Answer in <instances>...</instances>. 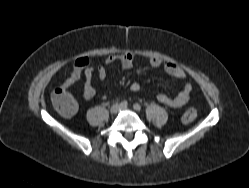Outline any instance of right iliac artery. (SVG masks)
<instances>
[{"mask_svg":"<svg viewBox=\"0 0 249 188\" xmlns=\"http://www.w3.org/2000/svg\"><path fill=\"white\" fill-rule=\"evenodd\" d=\"M120 106L127 107L128 106V102L124 100V101H122L120 103Z\"/></svg>","mask_w":249,"mask_h":188,"instance_id":"right-iliac-artery-1","label":"right iliac artery"}]
</instances>
